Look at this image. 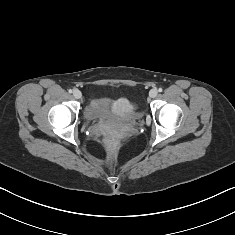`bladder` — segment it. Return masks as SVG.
I'll list each match as a JSON object with an SVG mask.
<instances>
[{
	"instance_id": "bladder-1",
	"label": "bladder",
	"mask_w": 235,
	"mask_h": 235,
	"mask_svg": "<svg viewBox=\"0 0 235 235\" xmlns=\"http://www.w3.org/2000/svg\"><path fill=\"white\" fill-rule=\"evenodd\" d=\"M120 99L109 96L91 98L84 109V116L91 121H115L123 122L128 119L139 117L140 109H135L130 101H126V107H120Z\"/></svg>"
}]
</instances>
